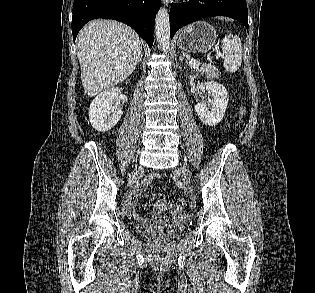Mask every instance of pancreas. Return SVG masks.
<instances>
[{"instance_id":"pancreas-1","label":"pancreas","mask_w":315,"mask_h":293,"mask_svg":"<svg viewBox=\"0 0 315 293\" xmlns=\"http://www.w3.org/2000/svg\"><path fill=\"white\" fill-rule=\"evenodd\" d=\"M198 71L205 73L209 78H218L220 76V71L213 65H203Z\"/></svg>"}]
</instances>
